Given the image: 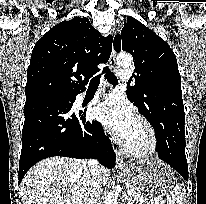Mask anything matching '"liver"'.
I'll use <instances>...</instances> for the list:
<instances>
[{
	"label": "liver",
	"instance_id": "6515ba94",
	"mask_svg": "<svg viewBox=\"0 0 206 204\" xmlns=\"http://www.w3.org/2000/svg\"><path fill=\"white\" fill-rule=\"evenodd\" d=\"M102 184L110 170L102 167ZM88 169L85 161L66 157L44 159L32 167L20 185L22 204H84Z\"/></svg>",
	"mask_w": 206,
	"mask_h": 204
}]
</instances>
